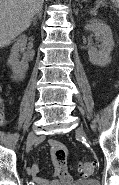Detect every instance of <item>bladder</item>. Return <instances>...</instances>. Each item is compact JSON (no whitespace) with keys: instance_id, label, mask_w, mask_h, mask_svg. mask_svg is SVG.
<instances>
[{"instance_id":"obj_1","label":"bladder","mask_w":119,"mask_h":185,"mask_svg":"<svg viewBox=\"0 0 119 185\" xmlns=\"http://www.w3.org/2000/svg\"><path fill=\"white\" fill-rule=\"evenodd\" d=\"M71 185H100V184L95 179H85V180L76 181Z\"/></svg>"}]
</instances>
